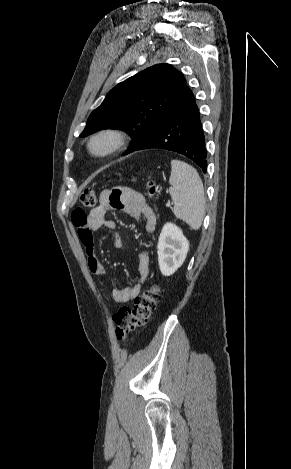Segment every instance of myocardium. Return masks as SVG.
Here are the masks:
<instances>
[{"label":"myocardium","mask_w":291,"mask_h":469,"mask_svg":"<svg viewBox=\"0 0 291 469\" xmlns=\"http://www.w3.org/2000/svg\"><path fill=\"white\" fill-rule=\"evenodd\" d=\"M106 139L108 146L103 151H95L93 145ZM126 134L119 128L106 127L92 133L86 143L87 152L95 158H106L119 151L126 143Z\"/></svg>","instance_id":"f54148a6"}]
</instances>
